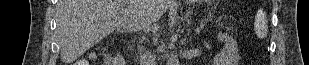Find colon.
<instances>
[{
	"label": "colon",
	"mask_w": 309,
	"mask_h": 65,
	"mask_svg": "<svg viewBox=\"0 0 309 65\" xmlns=\"http://www.w3.org/2000/svg\"><path fill=\"white\" fill-rule=\"evenodd\" d=\"M268 31V19L264 11L260 10L256 13L254 21V32L257 38L264 39L267 36ZM82 61L78 62V65H83Z\"/></svg>",
	"instance_id": "1"
}]
</instances>
